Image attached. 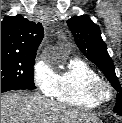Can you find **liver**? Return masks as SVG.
Returning <instances> with one entry per match:
<instances>
[{
  "label": "liver",
  "mask_w": 122,
  "mask_h": 123,
  "mask_svg": "<svg viewBox=\"0 0 122 123\" xmlns=\"http://www.w3.org/2000/svg\"><path fill=\"white\" fill-rule=\"evenodd\" d=\"M1 123H101L90 111L75 109L28 91L1 96Z\"/></svg>",
  "instance_id": "6515ba94"
}]
</instances>
